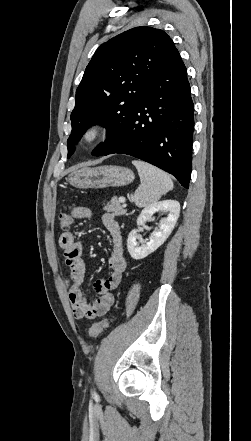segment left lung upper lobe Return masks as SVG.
<instances>
[{
    "instance_id": "left-lung-upper-lobe-1",
    "label": "left lung upper lobe",
    "mask_w": 251,
    "mask_h": 441,
    "mask_svg": "<svg viewBox=\"0 0 251 441\" xmlns=\"http://www.w3.org/2000/svg\"><path fill=\"white\" fill-rule=\"evenodd\" d=\"M175 50L164 31L146 26L132 28L99 46L76 90L68 158L90 126L118 128L128 119Z\"/></svg>"
}]
</instances>
